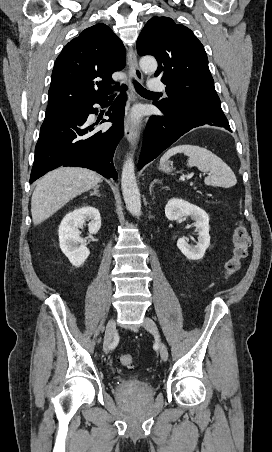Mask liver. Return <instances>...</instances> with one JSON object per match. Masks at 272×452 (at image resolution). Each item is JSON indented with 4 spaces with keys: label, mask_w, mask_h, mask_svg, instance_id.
Masks as SVG:
<instances>
[{
    "label": "liver",
    "mask_w": 272,
    "mask_h": 452,
    "mask_svg": "<svg viewBox=\"0 0 272 452\" xmlns=\"http://www.w3.org/2000/svg\"><path fill=\"white\" fill-rule=\"evenodd\" d=\"M102 181L96 172L80 167H61L46 174L31 198L34 225L56 213L70 200L94 188Z\"/></svg>",
    "instance_id": "liver-1"
}]
</instances>
